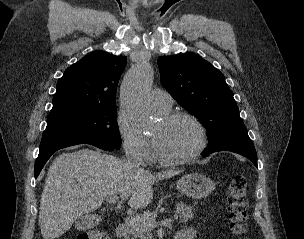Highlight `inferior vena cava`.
<instances>
[{
    "instance_id": "obj_1",
    "label": "inferior vena cava",
    "mask_w": 304,
    "mask_h": 239,
    "mask_svg": "<svg viewBox=\"0 0 304 239\" xmlns=\"http://www.w3.org/2000/svg\"><path fill=\"white\" fill-rule=\"evenodd\" d=\"M125 151L127 162L132 168H138L139 166L144 165L142 156L140 155L138 150L128 147Z\"/></svg>"
}]
</instances>
